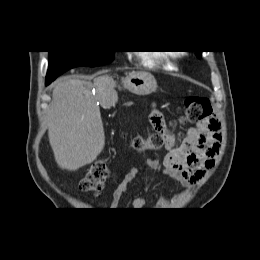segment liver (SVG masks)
Listing matches in <instances>:
<instances>
[{
	"instance_id": "1",
	"label": "liver",
	"mask_w": 260,
	"mask_h": 260,
	"mask_svg": "<svg viewBox=\"0 0 260 260\" xmlns=\"http://www.w3.org/2000/svg\"><path fill=\"white\" fill-rule=\"evenodd\" d=\"M114 87V80L108 75L96 77L93 83L64 77L54 85L48 137L61 169L76 171L92 163L103 150L105 134L97 101H114Z\"/></svg>"
}]
</instances>
